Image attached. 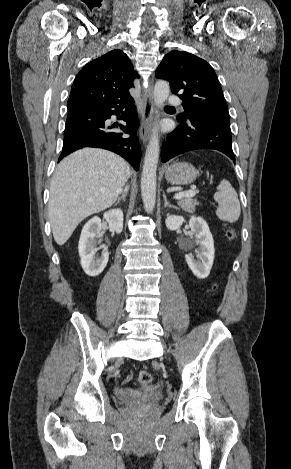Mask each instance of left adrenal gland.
I'll return each mask as SVG.
<instances>
[{
	"mask_svg": "<svg viewBox=\"0 0 291 469\" xmlns=\"http://www.w3.org/2000/svg\"><path fill=\"white\" fill-rule=\"evenodd\" d=\"M163 199H164V207H167V206H168V207H171V208L178 209V207H177V206H175V205H172V204H170V203L168 202V200H167V198H166V194H165V193H163Z\"/></svg>",
	"mask_w": 291,
	"mask_h": 469,
	"instance_id": "obj_1",
	"label": "left adrenal gland"
}]
</instances>
